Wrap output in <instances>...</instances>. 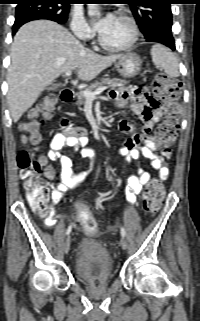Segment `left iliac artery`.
Here are the masks:
<instances>
[{
  "label": "left iliac artery",
  "instance_id": "obj_1",
  "mask_svg": "<svg viewBox=\"0 0 200 321\" xmlns=\"http://www.w3.org/2000/svg\"><path fill=\"white\" fill-rule=\"evenodd\" d=\"M121 236L124 238L126 236V231L124 227H121Z\"/></svg>",
  "mask_w": 200,
  "mask_h": 321
}]
</instances>
